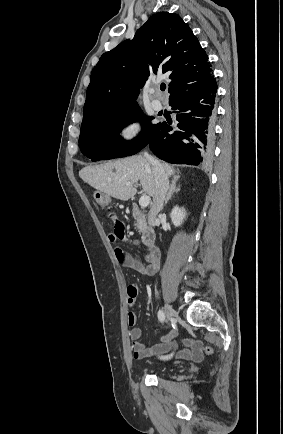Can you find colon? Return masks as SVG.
<instances>
[{
    "instance_id": "5ec220e1",
    "label": "colon",
    "mask_w": 283,
    "mask_h": 434,
    "mask_svg": "<svg viewBox=\"0 0 283 434\" xmlns=\"http://www.w3.org/2000/svg\"><path fill=\"white\" fill-rule=\"evenodd\" d=\"M95 200L97 202V204L104 210H109L111 207V199L108 195L98 192L95 194ZM206 353H210L211 352V348L207 347L205 349Z\"/></svg>"
}]
</instances>
